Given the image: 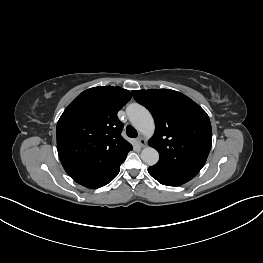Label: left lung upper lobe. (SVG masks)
Here are the masks:
<instances>
[{"label":"left lung upper lobe","instance_id":"5c2ea615","mask_svg":"<svg viewBox=\"0 0 263 263\" xmlns=\"http://www.w3.org/2000/svg\"><path fill=\"white\" fill-rule=\"evenodd\" d=\"M155 120L149 145L160 155L156 167L167 172L195 177L204 166L212 143L207 113L184 94L170 89L132 91Z\"/></svg>","mask_w":263,"mask_h":263}]
</instances>
